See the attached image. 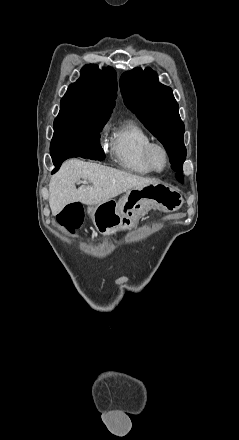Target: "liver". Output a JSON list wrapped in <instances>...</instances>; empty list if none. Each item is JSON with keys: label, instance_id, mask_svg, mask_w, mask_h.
<instances>
[{"label": "liver", "instance_id": "obj_1", "mask_svg": "<svg viewBox=\"0 0 239 440\" xmlns=\"http://www.w3.org/2000/svg\"><path fill=\"white\" fill-rule=\"evenodd\" d=\"M78 180H86L93 186H80L76 190L75 184ZM150 184H160V180L134 176L122 170L101 166V164L67 160L50 180L49 206L52 216H57L71 202L98 206L132 188H145Z\"/></svg>", "mask_w": 239, "mask_h": 440}]
</instances>
